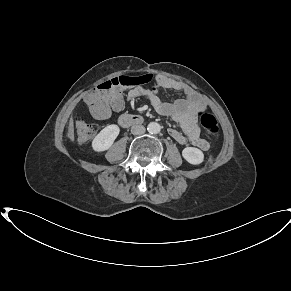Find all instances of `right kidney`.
<instances>
[{
  "label": "right kidney",
  "mask_w": 291,
  "mask_h": 291,
  "mask_svg": "<svg viewBox=\"0 0 291 291\" xmlns=\"http://www.w3.org/2000/svg\"><path fill=\"white\" fill-rule=\"evenodd\" d=\"M120 128L117 125H108L102 129L92 141V149L96 152L108 150L119 135Z\"/></svg>",
  "instance_id": "obj_1"
}]
</instances>
